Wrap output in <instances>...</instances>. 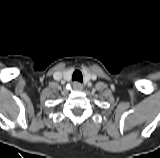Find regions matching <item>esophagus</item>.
I'll list each match as a JSON object with an SVG mask.
<instances>
[{
  "mask_svg": "<svg viewBox=\"0 0 160 158\" xmlns=\"http://www.w3.org/2000/svg\"><path fill=\"white\" fill-rule=\"evenodd\" d=\"M82 88H83V85H82L80 82L75 81V82L73 83V89H74V90H81Z\"/></svg>",
  "mask_w": 160,
  "mask_h": 158,
  "instance_id": "34e87169",
  "label": "esophagus"
}]
</instances>
